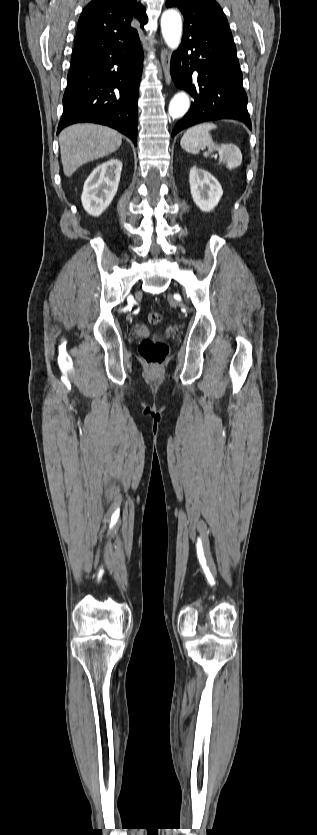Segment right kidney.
Segmentation results:
<instances>
[{
  "label": "right kidney",
  "mask_w": 317,
  "mask_h": 835,
  "mask_svg": "<svg viewBox=\"0 0 317 835\" xmlns=\"http://www.w3.org/2000/svg\"><path fill=\"white\" fill-rule=\"evenodd\" d=\"M122 162L111 158L94 168L83 186L81 201L87 213L101 215L112 202L120 181Z\"/></svg>",
  "instance_id": "1"
}]
</instances>
